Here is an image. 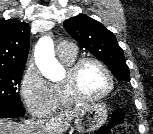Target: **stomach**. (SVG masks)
Returning <instances> with one entry per match:
<instances>
[{"mask_svg":"<svg viewBox=\"0 0 153 134\" xmlns=\"http://www.w3.org/2000/svg\"><path fill=\"white\" fill-rule=\"evenodd\" d=\"M107 107L104 104H92L84 107L75 117V127L79 133L94 132L107 120Z\"/></svg>","mask_w":153,"mask_h":134,"instance_id":"1","label":"stomach"}]
</instances>
